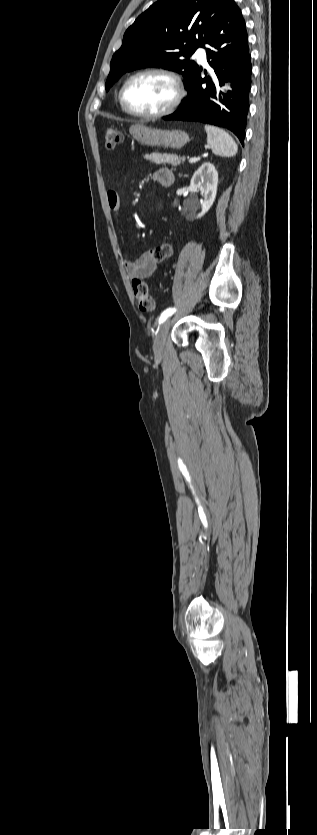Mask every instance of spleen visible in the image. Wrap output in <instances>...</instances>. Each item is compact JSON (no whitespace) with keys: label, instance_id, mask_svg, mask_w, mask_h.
<instances>
[{"label":"spleen","instance_id":"3e777b00","mask_svg":"<svg viewBox=\"0 0 317 835\" xmlns=\"http://www.w3.org/2000/svg\"><path fill=\"white\" fill-rule=\"evenodd\" d=\"M207 143L212 152L218 156L232 157L238 150L234 139L223 129L213 125H205Z\"/></svg>","mask_w":317,"mask_h":835}]
</instances>
